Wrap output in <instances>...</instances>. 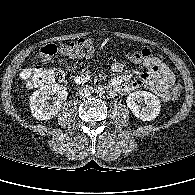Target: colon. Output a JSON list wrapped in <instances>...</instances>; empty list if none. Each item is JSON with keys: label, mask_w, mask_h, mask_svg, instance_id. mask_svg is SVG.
Here are the masks:
<instances>
[{"label": "colon", "mask_w": 195, "mask_h": 195, "mask_svg": "<svg viewBox=\"0 0 195 195\" xmlns=\"http://www.w3.org/2000/svg\"><path fill=\"white\" fill-rule=\"evenodd\" d=\"M95 54V50L91 40L80 38L75 42L68 44L48 43L40 49L38 61L40 63H48L57 55H65L72 58L91 59ZM153 54L147 48L135 49L126 54V58L133 63L150 66ZM22 78L26 85L33 88L44 85L59 84L65 81V73L59 68H42L41 66H33L22 71ZM182 87L176 85L171 92L173 99L180 98Z\"/></svg>", "instance_id": "obj_1"}]
</instances>
